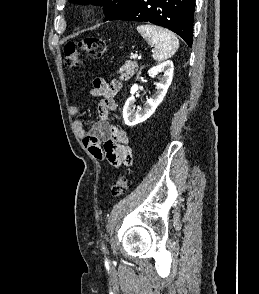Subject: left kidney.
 Instances as JSON below:
<instances>
[{
  "instance_id": "left-kidney-1",
  "label": "left kidney",
  "mask_w": 259,
  "mask_h": 294,
  "mask_svg": "<svg viewBox=\"0 0 259 294\" xmlns=\"http://www.w3.org/2000/svg\"><path fill=\"white\" fill-rule=\"evenodd\" d=\"M173 71L174 65L170 60L154 66L148 71V75L150 77H153L159 73H162L163 75L161 76L160 81L156 83L155 94L151 98L147 99L143 108L138 107L137 110H135L134 94L138 91V85L134 84L131 87V96L127 99L123 108V119L126 125L134 126L136 124L142 123L155 112L156 108L163 101L172 82Z\"/></svg>"
}]
</instances>
